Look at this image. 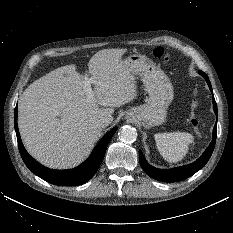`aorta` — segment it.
<instances>
[{
    "label": "aorta",
    "instance_id": "aorta-1",
    "mask_svg": "<svg viewBox=\"0 0 233 233\" xmlns=\"http://www.w3.org/2000/svg\"><path fill=\"white\" fill-rule=\"evenodd\" d=\"M119 137L123 142L133 143L137 138V131L134 127L125 125L119 132Z\"/></svg>",
    "mask_w": 233,
    "mask_h": 233
}]
</instances>
